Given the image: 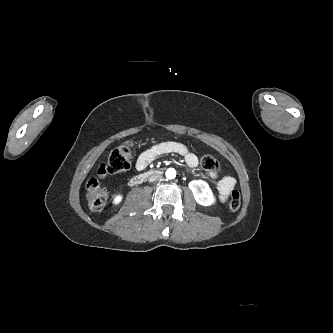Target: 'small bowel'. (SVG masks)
<instances>
[{"label":"small bowel","mask_w":333,"mask_h":333,"mask_svg":"<svg viewBox=\"0 0 333 333\" xmlns=\"http://www.w3.org/2000/svg\"><path fill=\"white\" fill-rule=\"evenodd\" d=\"M167 154H177L182 156L189 168H194L198 164V157L191 152L185 144L175 141H166L155 144L144 150L137 158L136 169L138 171H143L156 158ZM208 174L211 178L217 177L216 173L209 172ZM235 184L236 181L231 176H224L219 180L217 190L221 201H224L228 197L231 190L235 187Z\"/></svg>","instance_id":"small-bowel-1"}]
</instances>
